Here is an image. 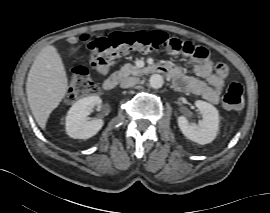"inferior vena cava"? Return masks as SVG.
<instances>
[{"mask_svg": "<svg viewBox=\"0 0 270 213\" xmlns=\"http://www.w3.org/2000/svg\"><path fill=\"white\" fill-rule=\"evenodd\" d=\"M139 83V78L137 77H126L120 82L121 88H129Z\"/></svg>", "mask_w": 270, "mask_h": 213, "instance_id": "1", "label": "inferior vena cava"}]
</instances>
